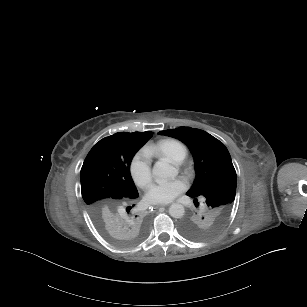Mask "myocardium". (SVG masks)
I'll use <instances>...</instances> for the list:
<instances>
[{
  "label": "myocardium",
  "mask_w": 307,
  "mask_h": 307,
  "mask_svg": "<svg viewBox=\"0 0 307 307\" xmlns=\"http://www.w3.org/2000/svg\"><path fill=\"white\" fill-rule=\"evenodd\" d=\"M192 165H193V162L190 161V160H187L186 163H185L186 168L192 167Z\"/></svg>",
  "instance_id": "f54148a6"
}]
</instances>
